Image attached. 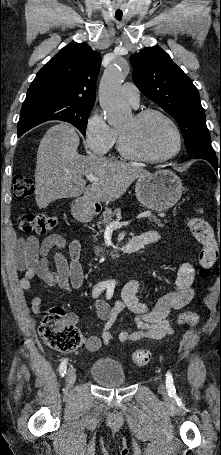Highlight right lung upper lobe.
I'll return each instance as SVG.
<instances>
[{"label":"right lung upper lobe","mask_w":221,"mask_h":455,"mask_svg":"<svg viewBox=\"0 0 221 455\" xmlns=\"http://www.w3.org/2000/svg\"><path fill=\"white\" fill-rule=\"evenodd\" d=\"M100 54L86 43H70L31 83L23 105L51 102L94 105Z\"/></svg>","instance_id":"right-lung-upper-lobe-1"}]
</instances>
